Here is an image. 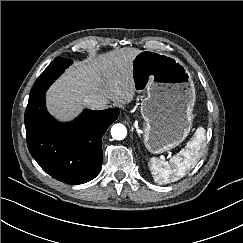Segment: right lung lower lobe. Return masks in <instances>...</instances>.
Here are the masks:
<instances>
[{
  "label": "right lung lower lobe",
  "mask_w": 243,
  "mask_h": 243,
  "mask_svg": "<svg viewBox=\"0 0 243 243\" xmlns=\"http://www.w3.org/2000/svg\"><path fill=\"white\" fill-rule=\"evenodd\" d=\"M63 71L46 69L31 90L24 116L27 146L50 176L64 183L82 184L99 174L102 136L117 119L119 110L86 109L73 122H57L47 112L45 92Z\"/></svg>",
  "instance_id": "right-lung-lower-lobe-1"
}]
</instances>
